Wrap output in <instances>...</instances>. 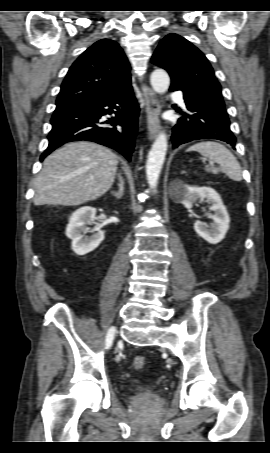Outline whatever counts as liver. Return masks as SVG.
Wrapping results in <instances>:
<instances>
[{"mask_svg":"<svg viewBox=\"0 0 270 453\" xmlns=\"http://www.w3.org/2000/svg\"><path fill=\"white\" fill-rule=\"evenodd\" d=\"M118 157L92 142H73L50 154L34 182V205L77 206L112 186Z\"/></svg>","mask_w":270,"mask_h":453,"instance_id":"liver-1","label":"liver"}]
</instances>
